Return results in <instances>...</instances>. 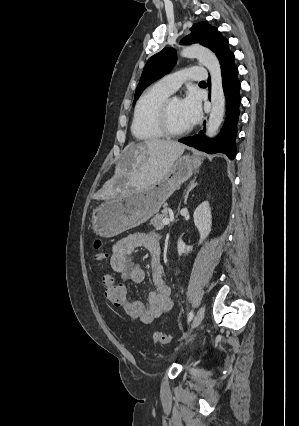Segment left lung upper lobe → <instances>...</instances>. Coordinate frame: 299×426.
I'll list each match as a JSON object with an SVG mask.
<instances>
[{
	"label": "left lung upper lobe",
	"instance_id": "1",
	"mask_svg": "<svg viewBox=\"0 0 299 426\" xmlns=\"http://www.w3.org/2000/svg\"><path fill=\"white\" fill-rule=\"evenodd\" d=\"M191 34L187 35L181 44H201L211 49L217 57L228 48V40L224 38L216 27L208 22L195 23L191 29ZM176 53L173 48H164L153 55L147 61L137 86L134 101L139 98L143 90L152 82L158 80L169 73L176 64Z\"/></svg>",
	"mask_w": 299,
	"mask_h": 426
}]
</instances>
